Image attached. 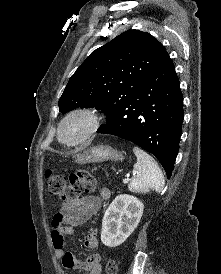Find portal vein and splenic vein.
Segmentation results:
<instances>
[{
    "instance_id": "1",
    "label": "portal vein and splenic vein",
    "mask_w": 221,
    "mask_h": 274,
    "mask_svg": "<svg viewBox=\"0 0 221 274\" xmlns=\"http://www.w3.org/2000/svg\"><path fill=\"white\" fill-rule=\"evenodd\" d=\"M128 181H129V177L123 179V183H128Z\"/></svg>"
}]
</instances>
